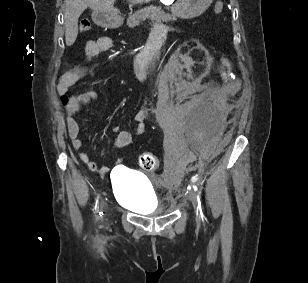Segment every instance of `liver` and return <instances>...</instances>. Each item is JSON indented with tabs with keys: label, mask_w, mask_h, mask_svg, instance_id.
Wrapping results in <instances>:
<instances>
[{
	"label": "liver",
	"mask_w": 308,
	"mask_h": 283,
	"mask_svg": "<svg viewBox=\"0 0 308 283\" xmlns=\"http://www.w3.org/2000/svg\"><path fill=\"white\" fill-rule=\"evenodd\" d=\"M151 0H129L133 4L148 3ZM115 0H66L65 9V42L73 45L78 35V19L85 9L110 12Z\"/></svg>",
	"instance_id": "obj_1"
}]
</instances>
